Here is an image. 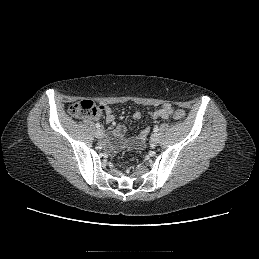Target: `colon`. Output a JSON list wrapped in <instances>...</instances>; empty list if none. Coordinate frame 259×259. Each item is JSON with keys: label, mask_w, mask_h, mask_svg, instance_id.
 Wrapping results in <instances>:
<instances>
[{"label": "colon", "mask_w": 259, "mask_h": 259, "mask_svg": "<svg viewBox=\"0 0 259 259\" xmlns=\"http://www.w3.org/2000/svg\"><path fill=\"white\" fill-rule=\"evenodd\" d=\"M100 110V106L96 105L92 100H81L70 106L69 112L74 117H95ZM176 120H183L186 116L183 110H175L172 112ZM125 165L130 164V160H125Z\"/></svg>", "instance_id": "colon-1"}]
</instances>
